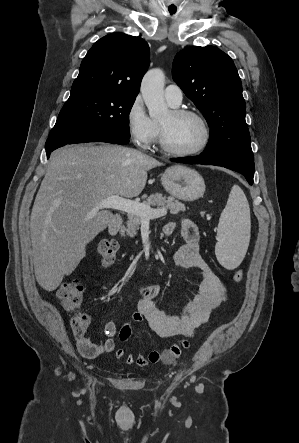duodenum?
Returning a JSON list of instances; mask_svg holds the SVG:
<instances>
[{"label":"duodenum","mask_w":299,"mask_h":443,"mask_svg":"<svg viewBox=\"0 0 299 443\" xmlns=\"http://www.w3.org/2000/svg\"><path fill=\"white\" fill-rule=\"evenodd\" d=\"M122 218L119 215L114 216L108 225L109 233L115 235L119 232L122 226Z\"/></svg>","instance_id":"duodenum-1"}]
</instances>
